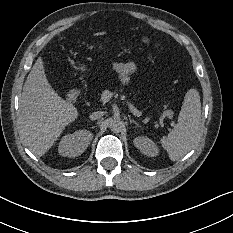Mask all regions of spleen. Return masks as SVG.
<instances>
[{
    "mask_svg": "<svg viewBox=\"0 0 233 233\" xmlns=\"http://www.w3.org/2000/svg\"><path fill=\"white\" fill-rule=\"evenodd\" d=\"M201 102L196 89L187 91L179 113L178 123L167 137L161 139L162 147L169 158L176 161L187 154L199 142Z\"/></svg>",
    "mask_w": 233,
    "mask_h": 233,
    "instance_id": "spleen-1",
    "label": "spleen"
}]
</instances>
